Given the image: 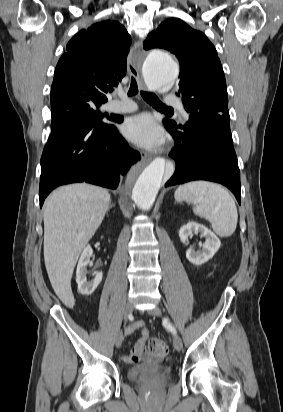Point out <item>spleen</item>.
I'll list each match as a JSON object with an SVG mask.
<instances>
[{"mask_svg": "<svg viewBox=\"0 0 283 412\" xmlns=\"http://www.w3.org/2000/svg\"><path fill=\"white\" fill-rule=\"evenodd\" d=\"M177 201L195 204L193 212L208 220L220 237H229L236 230L238 213L234 200L220 185L207 181H193L175 191Z\"/></svg>", "mask_w": 283, "mask_h": 412, "instance_id": "1", "label": "spleen"}]
</instances>
